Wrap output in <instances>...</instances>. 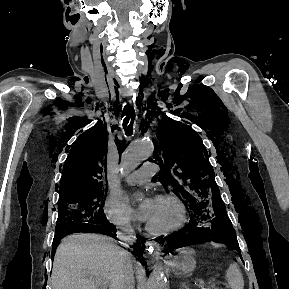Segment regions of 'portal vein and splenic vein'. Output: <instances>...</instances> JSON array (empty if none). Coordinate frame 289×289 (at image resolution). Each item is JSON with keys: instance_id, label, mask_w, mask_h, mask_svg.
Here are the masks:
<instances>
[{"instance_id": "18ae733b", "label": "portal vein and splenic vein", "mask_w": 289, "mask_h": 289, "mask_svg": "<svg viewBox=\"0 0 289 289\" xmlns=\"http://www.w3.org/2000/svg\"><path fill=\"white\" fill-rule=\"evenodd\" d=\"M198 287H199L200 289H205V282H204V280H199V282H198Z\"/></svg>"}]
</instances>
